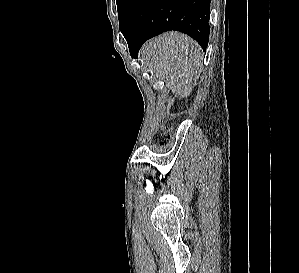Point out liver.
Returning a JSON list of instances; mask_svg holds the SVG:
<instances>
[{"mask_svg": "<svg viewBox=\"0 0 299 273\" xmlns=\"http://www.w3.org/2000/svg\"><path fill=\"white\" fill-rule=\"evenodd\" d=\"M141 55L179 98L190 95L202 71V49L196 41L178 32L164 33L148 41Z\"/></svg>", "mask_w": 299, "mask_h": 273, "instance_id": "6515ba94", "label": "liver"}]
</instances>
